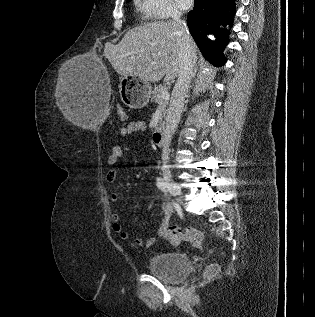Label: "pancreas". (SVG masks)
<instances>
[{
    "instance_id": "cf45deb5",
    "label": "pancreas",
    "mask_w": 315,
    "mask_h": 317,
    "mask_svg": "<svg viewBox=\"0 0 315 317\" xmlns=\"http://www.w3.org/2000/svg\"><path fill=\"white\" fill-rule=\"evenodd\" d=\"M164 90H167V87L166 86H162V85H159V86H155L153 92H152V100L155 102V103H159V102H163V114H165L167 112V106H168V102H169V99H163L162 98V92Z\"/></svg>"
}]
</instances>
